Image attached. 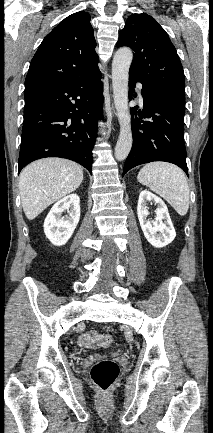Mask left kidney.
Segmentation results:
<instances>
[{
  "label": "left kidney",
  "instance_id": "obj_1",
  "mask_svg": "<svg viewBox=\"0 0 213 433\" xmlns=\"http://www.w3.org/2000/svg\"><path fill=\"white\" fill-rule=\"evenodd\" d=\"M147 201H153L157 205L155 222L149 221ZM137 214L141 229L147 241L156 248H162L170 244L176 237L168 208L161 198L143 190L139 195Z\"/></svg>",
  "mask_w": 213,
  "mask_h": 433
}]
</instances>
